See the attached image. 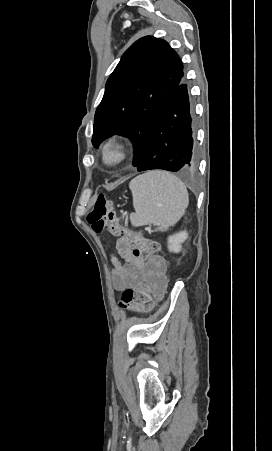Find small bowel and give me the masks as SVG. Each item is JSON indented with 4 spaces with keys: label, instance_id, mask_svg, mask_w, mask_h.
<instances>
[{
    "label": "small bowel",
    "instance_id": "c3829d8e",
    "mask_svg": "<svg viewBox=\"0 0 272 451\" xmlns=\"http://www.w3.org/2000/svg\"><path fill=\"white\" fill-rule=\"evenodd\" d=\"M116 251L118 256L111 254L110 260L113 265V286L117 291L135 287L145 281V269L149 264L154 265L157 274L165 277L168 264L161 256L147 253L143 260H134L131 245H122L121 238L116 242Z\"/></svg>",
    "mask_w": 272,
    "mask_h": 451
}]
</instances>
